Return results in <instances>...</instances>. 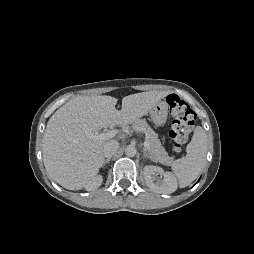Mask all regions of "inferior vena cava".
I'll return each instance as SVG.
<instances>
[{
  "label": "inferior vena cava",
  "instance_id": "inferior-vena-cava-1",
  "mask_svg": "<svg viewBox=\"0 0 254 254\" xmlns=\"http://www.w3.org/2000/svg\"><path fill=\"white\" fill-rule=\"evenodd\" d=\"M119 149V143L116 140L108 141L103 148V155L108 159L111 158Z\"/></svg>",
  "mask_w": 254,
  "mask_h": 254
}]
</instances>
